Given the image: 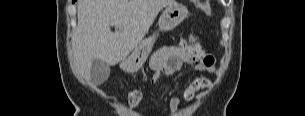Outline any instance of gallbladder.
Listing matches in <instances>:
<instances>
[{
    "instance_id": "bac80fb5",
    "label": "gallbladder",
    "mask_w": 305,
    "mask_h": 116,
    "mask_svg": "<svg viewBox=\"0 0 305 116\" xmlns=\"http://www.w3.org/2000/svg\"><path fill=\"white\" fill-rule=\"evenodd\" d=\"M91 81L94 85H101L107 81L110 75V66L100 59H94L91 65Z\"/></svg>"
}]
</instances>
